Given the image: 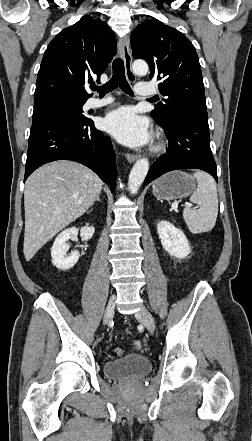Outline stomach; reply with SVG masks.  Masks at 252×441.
<instances>
[{
	"label": "stomach",
	"instance_id": "1",
	"mask_svg": "<svg viewBox=\"0 0 252 441\" xmlns=\"http://www.w3.org/2000/svg\"><path fill=\"white\" fill-rule=\"evenodd\" d=\"M195 187L192 176L182 171H174L157 179L152 189L158 199L173 200L190 195Z\"/></svg>",
	"mask_w": 252,
	"mask_h": 441
}]
</instances>
